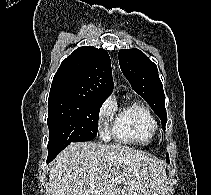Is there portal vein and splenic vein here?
<instances>
[{
  "label": "portal vein and splenic vein",
  "instance_id": "obj_1",
  "mask_svg": "<svg viewBox=\"0 0 211 195\" xmlns=\"http://www.w3.org/2000/svg\"><path fill=\"white\" fill-rule=\"evenodd\" d=\"M120 180L116 179V182H119Z\"/></svg>",
  "mask_w": 211,
  "mask_h": 195
}]
</instances>
